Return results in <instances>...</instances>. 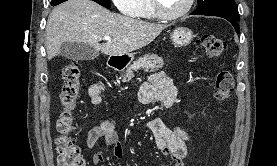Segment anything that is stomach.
Here are the masks:
<instances>
[{
	"label": "stomach",
	"mask_w": 277,
	"mask_h": 166,
	"mask_svg": "<svg viewBox=\"0 0 277 166\" xmlns=\"http://www.w3.org/2000/svg\"><path fill=\"white\" fill-rule=\"evenodd\" d=\"M194 38L192 30L186 27H178L171 33V41L177 47L189 45ZM113 57L120 66H126L132 61V54L117 55Z\"/></svg>",
	"instance_id": "1"
}]
</instances>
